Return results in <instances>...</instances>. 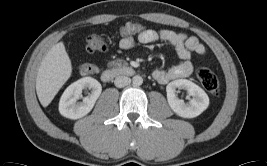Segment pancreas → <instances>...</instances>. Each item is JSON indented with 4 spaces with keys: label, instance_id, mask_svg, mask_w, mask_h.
<instances>
[{
    "label": "pancreas",
    "instance_id": "cf45deb5",
    "mask_svg": "<svg viewBox=\"0 0 267 166\" xmlns=\"http://www.w3.org/2000/svg\"><path fill=\"white\" fill-rule=\"evenodd\" d=\"M123 63H124L123 60L118 59V60H114V61H110V62H108V66H109V67H112V66L119 67V66H121Z\"/></svg>",
    "mask_w": 267,
    "mask_h": 166
}]
</instances>
